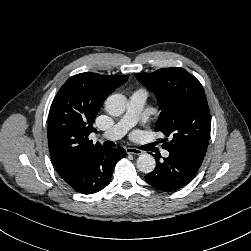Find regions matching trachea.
<instances>
[{
	"label": "trachea",
	"mask_w": 251,
	"mask_h": 251,
	"mask_svg": "<svg viewBox=\"0 0 251 251\" xmlns=\"http://www.w3.org/2000/svg\"><path fill=\"white\" fill-rule=\"evenodd\" d=\"M104 146H107V147H115V144H114L112 141H105V142H104Z\"/></svg>",
	"instance_id": "trachea-1"
}]
</instances>
